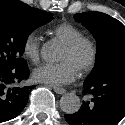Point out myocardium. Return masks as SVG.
<instances>
[{
    "label": "myocardium",
    "mask_w": 125,
    "mask_h": 125,
    "mask_svg": "<svg viewBox=\"0 0 125 125\" xmlns=\"http://www.w3.org/2000/svg\"><path fill=\"white\" fill-rule=\"evenodd\" d=\"M82 46L87 47L89 51V56L87 61L79 69L80 73L85 74L93 68L97 59V46L95 42L86 36H80L64 44V47L71 52L77 51Z\"/></svg>",
    "instance_id": "f54148a6"
}]
</instances>
